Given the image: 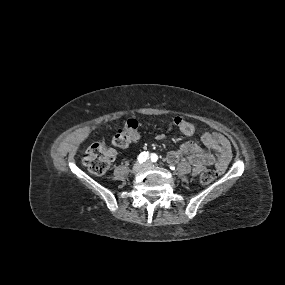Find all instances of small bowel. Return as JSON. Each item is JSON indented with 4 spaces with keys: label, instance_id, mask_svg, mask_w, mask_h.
Instances as JSON below:
<instances>
[{
    "label": "small bowel",
    "instance_id": "small-bowel-1",
    "mask_svg": "<svg viewBox=\"0 0 285 285\" xmlns=\"http://www.w3.org/2000/svg\"><path fill=\"white\" fill-rule=\"evenodd\" d=\"M156 138L161 140L164 138V135L160 134ZM202 140L206 146L213 149L215 152H206L195 141H187L178 149L168 152V162L176 164L183 156H187L189 162L193 165L195 174L209 165H215L219 173L225 172L232 157L229 140L222 134L213 132L204 133Z\"/></svg>",
    "mask_w": 285,
    "mask_h": 285
}]
</instances>
